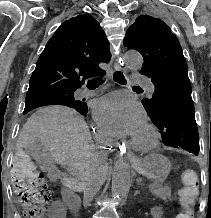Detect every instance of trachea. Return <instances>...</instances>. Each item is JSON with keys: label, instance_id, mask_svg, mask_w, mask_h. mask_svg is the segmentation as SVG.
<instances>
[{"label": "trachea", "instance_id": "obj_1", "mask_svg": "<svg viewBox=\"0 0 211 218\" xmlns=\"http://www.w3.org/2000/svg\"><path fill=\"white\" fill-rule=\"evenodd\" d=\"M114 80L115 82L121 84V85H125L127 83L123 73H121V71H116L114 73ZM88 83H91V84H101V83H104V80L100 79V78H94L93 80H89ZM133 88H139L140 87H133Z\"/></svg>", "mask_w": 211, "mask_h": 218}]
</instances>
